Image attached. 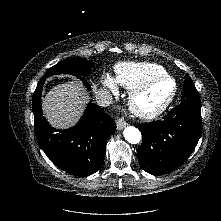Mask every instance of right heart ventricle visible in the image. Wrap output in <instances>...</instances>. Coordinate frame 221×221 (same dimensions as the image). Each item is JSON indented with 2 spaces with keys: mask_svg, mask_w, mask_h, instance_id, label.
<instances>
[{
  "mask_svg": "<svg viewBox=\"0 0 221 221\" xmlns=\"http://www.w3.org/2000/svg\"><path fill=\"white\" fill-rule=\"evenodd\" d=\"M164 74V68L154 63L122 62L115 66V82L127 90Z\"/></svg>",
  "mask_w": 221,
  "mask_h": 221,
  "instance_id": "1",
  "label": "right heart ventricle"
}]
</instances>
